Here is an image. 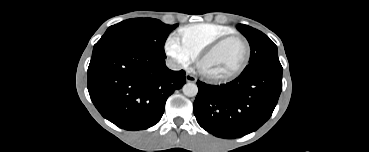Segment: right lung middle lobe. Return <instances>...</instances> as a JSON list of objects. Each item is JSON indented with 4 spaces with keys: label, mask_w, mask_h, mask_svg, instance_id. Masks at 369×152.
Masks as SVG:
<instances>
[{
    "label": "right lung middle lobe",
    "mask_w": 369,
    "mask_h": 152,
    "mask_svg": "<svg viewBox=\"0 0 369 152\" xmlns=\"http://www.w3.org/2000/svg\"><path fill=\"white\" fill-rule=\"evenodd\" d=\"M177 26L178 24L167 25L152 18L125 20L107 29L101 39L94 45L93 54L114 46L128 45L165 59V41L169 33Z\"/></svg>",
    "instance_id": "dd1d6c3e"
}]
</instances>
